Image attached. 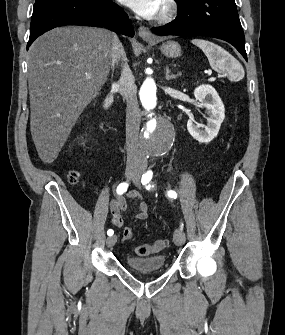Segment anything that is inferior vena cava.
<instances>
[{
  "label": "inferior vena cava",
  "instance_id": "602c4592",
  "mask_svg": "<svg viewBox=\"0 0 285 335\" xmlns=\"http://www.w3.org/2000/svg\"><path fill=\"white\" fill-rule=\"evenodd\" d=\"M112 68L117 66L118 62H123L120 78L121 96L126 100V146L127 160L132 162H142L143 154L139 150L138 134L141 122L140 110L137 102V90L135 86L134 76L128 68L126 54L123 50L121 42L117 36L113 38L112 50Z\"/></svg>",
  "mask_w": 285,
  "mask_h": 335
}]
</instances>
